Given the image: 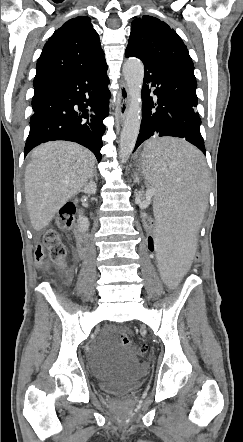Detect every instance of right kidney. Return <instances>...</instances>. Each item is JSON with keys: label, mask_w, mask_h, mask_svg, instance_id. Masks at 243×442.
I'll return each mask as SVG.
<instances>
[{"label": "right kidney", "mask_w": 243, "mask_h": 442, "mask_svg": "<svg viewBox=\"0 0 243 442\" xmlns=\"http://www.w3.org/2000/svg\"><path fill=\"white\" fill-rule=\"evenodd\" d=\"M96 189H97L96 184L93 182H90L88 185H86L84 187L83 192L87 193V194H95ZM78 222H79V228L82 232L86 231L89 228V220L87 217H85L83 215H79Z\"/></svg>", "instance_id": "obj_1"}]
</instances>
